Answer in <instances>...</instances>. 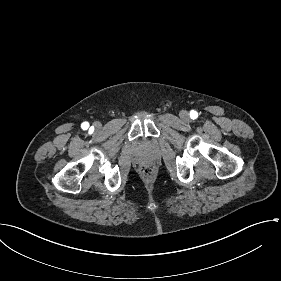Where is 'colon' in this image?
Wrapping results in <instances>:
<instances>
[{"label":"colon","mask_w":281,"mask_h":281,"mask_svg":"<svg viewBox=\"0 0 281 281\" xmlns=\"http://www.w3.org/2000/svg\"><path fill=\"white\" fill-rule=\"evenodd\" d=\"M145 173H146L147 176L151 175L150 169H146Z\"/></svg>","instance_id":"obj_1"}]
</instances>
